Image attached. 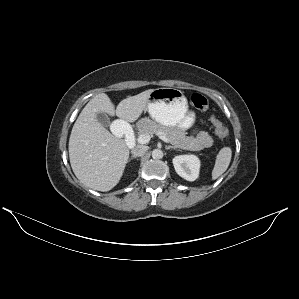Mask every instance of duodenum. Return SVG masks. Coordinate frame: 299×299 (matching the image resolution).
I'll list each match as a JSON object with an SVG mask.
<instances>
[{
  "mask_svg": "<svg viewBox=\"0 0 299 299\" xmlns=\"http://www.w3.org/2000/svg\"><path fill=\"white\" fill-rule=\"evenodd\" d=\"M117 127L126 133V142H127V145L130 147V148H133L135 146V139H134V134L132 133V131H130L126 126H125V122L122 118H119L117 120Z\"/></svg>",
  "mask_w": 299,
  "mask_h": 299,
  "instance_id": "1",
  "label": "duodenum"
}]
</instances>
